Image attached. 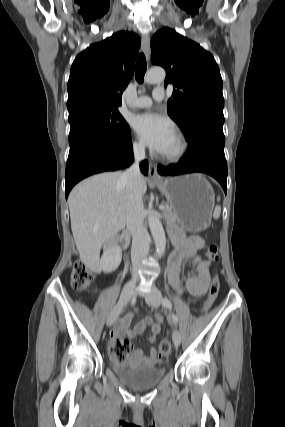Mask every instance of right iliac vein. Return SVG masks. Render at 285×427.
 I'll return each mask as SVG.
<instances>
[{
	"label": "right iliac vein",
	"instance_id": "1",
	"mask_svg": "<svg viewBox=\"0 0 285 427\" xmlns=\"http://www.w3.org/2000/svg\"><path fill=\"white\" fill-rule=\"evenodd\" d=\"M136 283L137 280H131L124 286L117 305L113 308L107 319V326H111L116 321L122 310V307L130 300Z\"/></svg>",
	"mask_w": 285,
	"mask_h": 427
}]
</instances>
